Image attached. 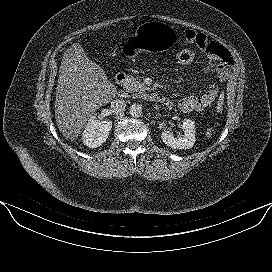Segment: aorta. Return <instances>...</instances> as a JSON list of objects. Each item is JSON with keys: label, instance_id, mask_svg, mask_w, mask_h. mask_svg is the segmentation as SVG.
Listing matches in <instances>:
<instances>
[{"label": "aorta", "instance_id": "aorta-1", "mask_svg": "<svg viewBox=\"0 0 272 272\" xmlns=\"http://www.w3.org/2000/svg\"><path fill=\"white\" fill-rule=\"evenodd\" d=\"M129 113L133 117H139L142 114V107L139 104H132L129 109Z\"/></svg>", "mask_w": 272, "mask_h": 272}]
</instances>
